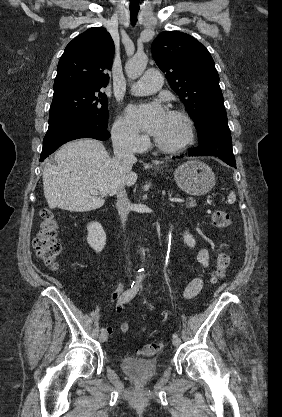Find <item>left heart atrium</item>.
Instances as JSON below:
<instances>
[{
  "label": "left heart atrium",
  "mask_w": 282,
  "mask_h": 417,
  "mask_svg": "<svg viewBox=\"0 0 282 417\" xmlns=\"http://www.w3.org/2000/svg\"><path fill=\"white\" fill-rule=\"evenodd\" d=\"M164 116V112L157 104L131 106L127 111V119L133 127L153 135L159 132Z\"/></svg>",
  "instance_id": "39dd6f15"
}]
</instances>
